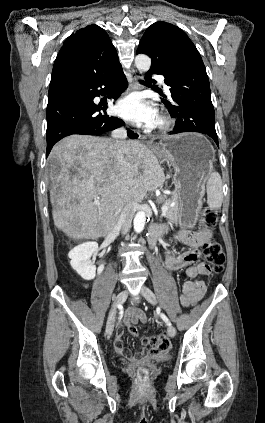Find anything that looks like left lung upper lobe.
<instances>
[{"instance_id": "1", "label": "left lung upper lobe", "mask_w": 265, "mask_h": 423, "mask_svg": "<svg viewBox=\"0 0 265 423\" xmlns=\"http://www.w3.org/2000/svg\"><path fill=\"white\" fill-rule=\"evenodd\" d=\"M137 53L151 57L153 71L166 70L190 55H199L186 33L167 22H156L146 30Z\"/></svg>"}]
</instances>
